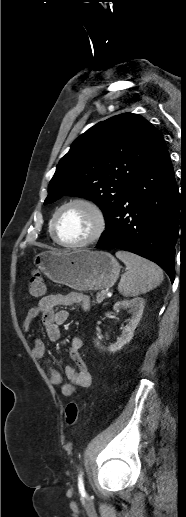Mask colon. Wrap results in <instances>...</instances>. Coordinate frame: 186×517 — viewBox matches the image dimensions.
Listing matches in <instances>:
<instances>
[{
	"mask_svg": "<svg viewBox=\"0 0 186 517\" xmlns=\"http://www.w3.org/2000/svg\"><path fill=\"white\" fill-rule=\"evenodd\" d=\"M28 292L31 298L38 299L43 296L45 292L44 280L38 271H33L28 284ZM79 416V406L77 401H71L65 411V422L68 426L74 425Z\"/></svg>",
	"mask_w": 186,
	"mask_h": 517,
	"instance_id": "1",
	"label": "colon"
}]
</instances>
